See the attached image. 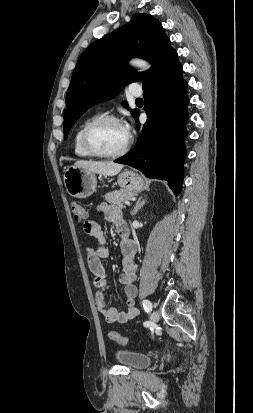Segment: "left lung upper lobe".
<instances>
[{
    "instance_id": "5c2ea615",
    "label": "left lung upper lobe",
    "mask_w": 253,
    "mask_h": 413,
    "mask_svg": "<svg viewBox=\"0 0 253 413\" xmlns=\"http://www.w3.org/2000/svg\"><path fill=\"white\" fill-rule=\"evenodd\" d=\"M173 51L161 23L145 13L133 15L126 25L93 42L80 55L66 93L64 139L87 109L112 99L129 83L150 81ZM131 57L148 60L150 70L139 73L129 67L126 61ZM138 112L131 110L134 118Z\"/></svg>"
}]
</instances>
